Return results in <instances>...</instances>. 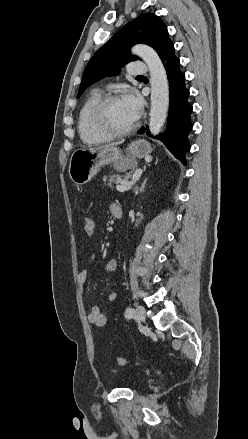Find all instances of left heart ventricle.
I'll list each match as a JSON object with an SVG mask.
<instances>
[{"instance_id":"left-heart-ventricle-1","label":"left heart ventricle","mask_w":248,"mask_h":439,"mask_svg":"<svg viewBox=\"0 0 248 439\" xmlns=\"http://www.w3.org/2000/svg\"><path fill=\"white\" fill-rule=\"evenodd\" d=\"M108 124L115 129H125L135 122V117L122 99L112 102L106 111Z\"/></svg>"}]
</instances>
